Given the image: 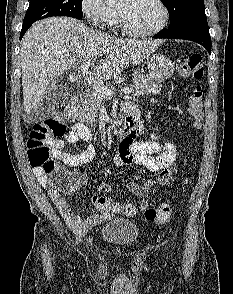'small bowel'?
<instances>
[{
  "label": "small bowel",
  "mask_w": 233,
  "mask_h": 294,
  "mask_svg": "<svg viewBox=\"0 0 233 294\" xmlns=\"http://www.w3.org/2000/svg\"><path fill=\"white\" fill-rule=\"evenodd\" d=\"M126 105L128 104H125L124 107ZM138 124L140 129L141 123L139 119ZM152 138L153 140L150 141L123 140L113 159L116 166L136 164L158 174L154 180L148 181L145 184H140L137 181L128 183L130 192L142 199L141 206L143 210L148 206L147 196L151 187L154 185L171 186L174 183L177 172L175 165L177 150L175 145L172 142H166L164 145H161L156 141V135H153ZM90 139L91 132L89 128L81 122L75 123L63 138L55 140L56 152L63 159L65 165L69 167L86 165L95 156V148L90 143ZM79 141L87 143L86 149L83 152L71 154L64 150L66 142L76 144ZM34 172L40 184L47 189L51 201L57 207L63 219L76 232L85 233L93 226L111 219L114 213L122 212L121 205L103 196H94L92 201L99 210V213L82 215L75 211L71 202L65 199L61 192L52 186L46 174L37 168L34 169ZM74 175L78 181V188L90 184V179L87 175L82 173H75ZM95 187L103 193H109L112 190V187L107 183H97Z\"/></svg>",
  "instance_id": "1"
}]
</instances>
